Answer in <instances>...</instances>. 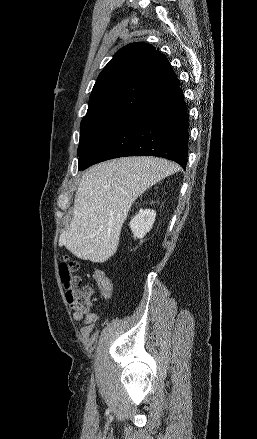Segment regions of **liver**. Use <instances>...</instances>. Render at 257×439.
<instances>
[{"label":"liver","instance_id":"1","mask_svg":"<svg viewBox=\"0 0 257 439\" xmlns=\"http://www.w3.org/2000/svg\"><path fill=\"white\" fill-rule=\"evenodd\" d=\"M179 171L158 157H123L91 167L82 176L73 217L59 245L83 260L103 263L118 248L133 202L161 179Z\"/></svg>","mask_w":257,"mask_h":439}]
</instances>
